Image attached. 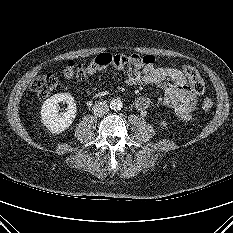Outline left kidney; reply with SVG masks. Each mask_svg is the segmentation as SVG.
Instances as JSON below:
<instances>
[{"label":"left kidney","mask_w":233,"mask_h":233,"mask_svg":"<svg viewBox=\"0 0 233 233\" xmlns=\"http://www.w3.org/2000/svg\"><path fill=\"white\" fill-rule=\"evenodd\" d=\"M160 125H162L163 127H166V122L165 121H161Z\"/></svg>","instance_id":"obj_1"}]
</instances>
